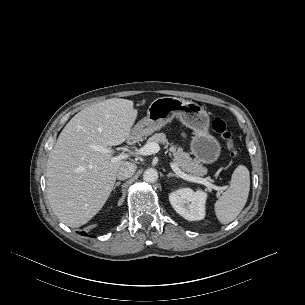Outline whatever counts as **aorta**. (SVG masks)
<instances>
[{
    "instance_id": "aorta-1",
    "label": "aorta",
    "mask_w": 305,
    "mask_h": 305,
    "mask_svg": "<svg viewBox=\"0 0 305 305\" xmlns=\"http://www.w3.org/2000/svg\"><path fill=\"white\" fill-rule=\"evenodd\" d=\"M143 179L145 182H148V183L156 182L158 179L157 170H155L153 168H149V169L145 170V172L143 174Z\"/></svg>"
}]
</instances>
